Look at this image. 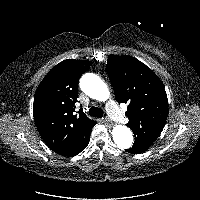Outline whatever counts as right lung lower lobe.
Here are the masks:
<instances>
[{"label": "right lung lower lobe", "mask_w": 200, "mask_h": 200, "mask_svg": "<svg viewBox=\"0 0 200 200\" xmlns=\"http://www.w3.org/2000/svg\"><path fill=\"white\" fill-rule=\"evenodd\" d=\"M89 138H90V134H89V136L87 137V139L85 140V142H84L82 148L80 149L79 153L88 145V143H89Z\"/></svg>", "instance_id": "98d812e1"}]
</instances>
